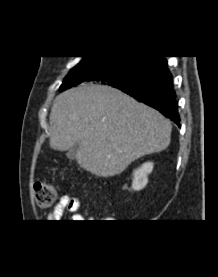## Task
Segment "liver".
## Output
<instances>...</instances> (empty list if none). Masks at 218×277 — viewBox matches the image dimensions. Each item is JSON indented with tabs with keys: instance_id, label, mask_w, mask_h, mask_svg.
<instances>
[{
	"instance_id": "6515ba94",
	"label": "liver",
	"mask_w": 218,
	"mask_h": 277,
	"mask_svg": "<svg viewBox=\"0 0 218 277\" xmlns=\"http://www.w3.org/2000/svg\"><path fill=\"white\" fill-rule=\"evenodd\" d=\"M50 147L80 146L77 163L100 177L120 174L134 160L170 143L171 122L156 110L107 85L82 84L54 100Z\"/></svg>"
}]
</instances>
